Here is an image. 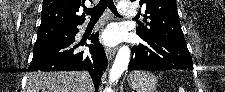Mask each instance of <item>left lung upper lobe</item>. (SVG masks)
Returning <instances> with one entry per match:
<instances>
[{"instance_id": "obj_1", "label": "left lung upper lobe", "mask_w": 225, "mask_h": 92, "mask_svg": "<svg viewBox=\"0 0 225 92\" xmlns=\"http://www.w3.org/2000/svg\"><path fill=\"white\" fill-rule=\"evenodd\" d=\"M140 6L146 7L144 21L147 25V27L136 29L141 38L170 39L175 42L186 43L175 0H140Z\"/></svg>"}]
</instances>
